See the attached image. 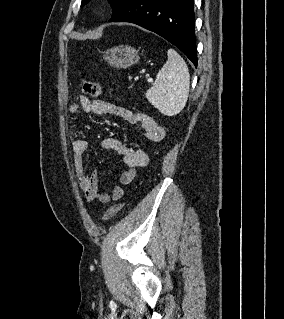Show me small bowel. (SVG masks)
Wrapping results in <instances>:
<instances>
[{
	"instance_id": "c3829d8e",
	"label": "small bowel",
	"mask_w": 284,
	"mask_h": 319,
	"mask_svg": "<svg viewBox=\"0 0 284 319\" xmlns=\"http://www.w3.org/2000/svg\"><path fill=\"white\" fill-rule=\"evenodd\" d=\"M78 110H82L87 114L113 115L133 124L138 123L146 139L151 142H160L165 138V129L159 125L155 119L149 115L126 109L111 102L102 100L91 101L87 97L82 96L77 102L69 106L71 113H76ZM71 145L75 172L79 185L88 202L98 200L101 203H107L111 200L117 201L121 199L124 195V190L121 185H129L132 183L136 176L137 169L145 167L149 162V156L145 150L129 147L125 143L113 138L105 139L102 142V147L105 150L117 152L125 164V168L120 174L121 185H116L110 193H107L101 189L99 172L97 170L86 172L85 170L83 155L88 150V141L77 133H72Z\"/></svg>"
}]
</instances>
